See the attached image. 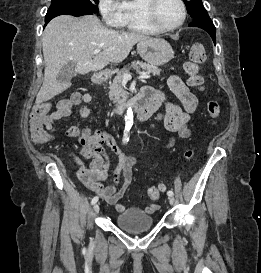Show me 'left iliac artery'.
<instances>
[{"mask_svg":"<svg viewBox=\"0 0 261 273\" xmlns=\"http://www.w3.org/2000/svg\"><path fill=\"white\" fill-rule=\"evenodd\" d=\"M167 195H168V196H173L174 193H173V191L169 190V191H167Z\"/></svg>","mask_w":261,"mask_h":273,"instance_id":"44dca946","label":"left iliac artery"}]
</instances>
